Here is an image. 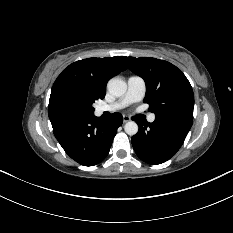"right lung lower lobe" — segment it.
<instances>
[{
  "instance_id": "1",
  "label": "right lung lower lobe",
  "mask_w": 233,
  "mask_h": 233,
  "mask_svg": "<svg viewBox=\"0 0 233 233\" xmlns=\"http://www.w3.org/2000/svg\"><path fill=\"white\" fill-rule=\"evenodd\" d=\"M53 132L69 157L84 166H93L108 155L117 129L123 122L119 113L99 121L94 114L49 117Z\"/></svg>"
}]
</instances>
